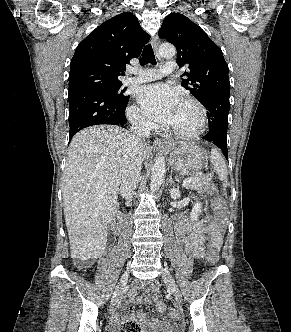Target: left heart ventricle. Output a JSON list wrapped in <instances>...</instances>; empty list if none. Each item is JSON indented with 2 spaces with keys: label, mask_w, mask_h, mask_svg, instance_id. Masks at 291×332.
<instances>
[{
  "label": "left heart ventricle",
  "mask_w": 291,
  "mask_h": 332,
  "mask_svg": "<svg viewBox=\"0 0 291 332\" xmlns=\"http://www.w3.org/2000/svg\"><path fill=\"white\" fill-rule=\"evenodd\" d=\"M198 124L199 119L194 107L180 102L176 107L170 126L179 131L190 132L195 130Z\"/></svg>",
  "instance_id": "left-heart-ventricle-1"
}]
</instances>
